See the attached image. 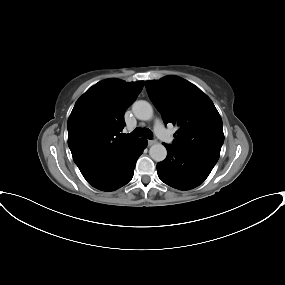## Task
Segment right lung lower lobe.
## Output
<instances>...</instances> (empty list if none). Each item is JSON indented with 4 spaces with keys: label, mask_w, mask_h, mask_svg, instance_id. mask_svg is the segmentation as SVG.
Segmentation results:
<instances>
[{
    "label": "right lung lower lobe",
    "mask_w": 285,
    "mask_h": 285,
    "mask_svg": "<svg viewBox=\"0 0 285 285\" xmlns=\"http://www.w3.org/2000/svg\"><path fill=\"white\" fill-rule=\"evenodd\" d=\"M146 146L147 140L139 138L81 173L93 187L102 191H114L132 179L136 161Z\"/></svg>",
    "instance_id": "obj_1"
}]
</instances>
